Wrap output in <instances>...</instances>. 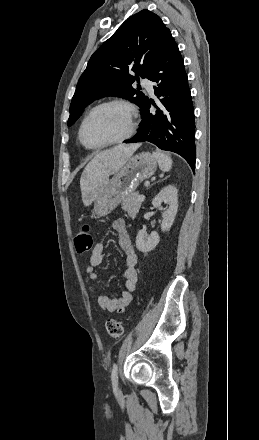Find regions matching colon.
Instances as JSON below:
<instances>
[{
    "instance_id": "5ec220e1",
    "label": "colon",
    "mask_w": 259,
    "mask_h": 440,
    "mask_svg": "<svg viewBox=\"0 0 259 440\" xmlns=\"http://www.w3.org/2000/svg\"><path fill=\"white\" fill-rule=\"evenodd\" d=\"M75 249L78 253H85L93 247V236L89 225H82L76 234ZM106 330L110 338L119 340L124 333V323L117 319H109L106 323Z\"/></svg>"
}]
</instances>
